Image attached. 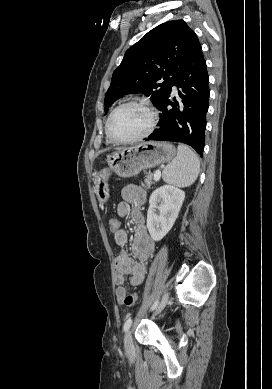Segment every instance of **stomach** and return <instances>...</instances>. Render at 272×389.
I'll return each mask as SVG.
<instances>
[{
  "label": "stomach",
  "instance_id": "0dacf381",
  "mask_svg": "<svg viewBox=\"0 0 272 389\" xmlns=\"http://www.w3.org/2000/svg\"><path fill=\"white\" fill-rule=\"evenodd\" d=\"M176 155L175 147L167 142L148 141L123 148L108 156V168L102 169L95 177V192L99 203L104 205L110 195L108 179L111 173L129 178L141 170L153 168L171 161Z\"/></svg>",
  "mask_w": 272,
  "mask_h": 389
}]
</instances>
